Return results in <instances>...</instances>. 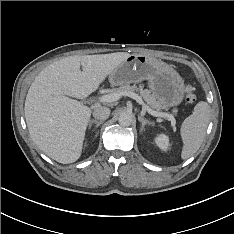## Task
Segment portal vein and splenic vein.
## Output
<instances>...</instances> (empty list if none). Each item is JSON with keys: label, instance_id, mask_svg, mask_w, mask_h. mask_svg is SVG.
I'll use <instances>...</instances> for the list:
<instances>
[{"label": "portal vein and splenic vein", "instance_id": "18ae733b", "mask_svg": "<svg viewBox=\"0 0 234 234\" xmlns=\"http://www.w3.org/2000/svg\"><path fill=\"white\" fill-rule=\"evenodd\" d=\"M121 96H128V97L136 100L140 105H142L143 109L146 110L149 114H151L155 117L166 118V119L170 120L173 125H175V118L172 114L165 113V112H157V111L152 110L143 102L142 98L134 92H130V91L119 92V93L112 92L110 94H106V95H103L102 97H100L99 101L100 102H114V101L119 100L121 98Z\"/></svg>", "mask_w": 234, "mask_h": 234}]
</instances>
